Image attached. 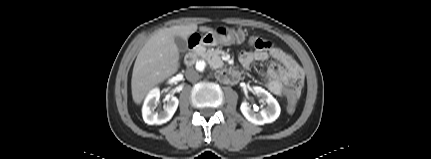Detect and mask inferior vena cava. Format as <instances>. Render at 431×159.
<instances>
[{"label":"inferior vena cava","instance_id":"602c4592","mask_svg":"<svg viewBox=\"0 0 431 159\" xmlns=\"http://www.w3.org/2000/svg\"><path fill=\"white\" fill-rule=\"evenodd\" d=\"M186 78L191 82H196L199 80V74L194 68H188L186 70Z\"/></svg>","mask_w":431,"mask_h":159}]
</instances>
